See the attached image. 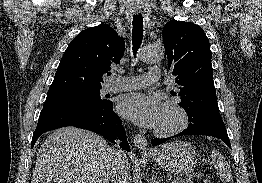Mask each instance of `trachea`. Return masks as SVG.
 <instances>
[{"label":"trachea","instance_id":"1","mask_svg":"<svg viewBox=\"0 0 262 183\" xmlns=\"http://www.w3.org/2000/svg\"><path fill=\"white\" fill-rule=\"evenodd\" d=\"M132 25V50L135 56L143 39V18L141 14L134 15Z\"/></svg>","mask_w":262,"mask_h":183}]
</instances>
